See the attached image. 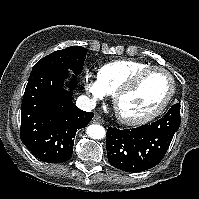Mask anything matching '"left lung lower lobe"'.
<instances>
[{
  "label": "left lung lower lobe",
  "instance_id": "1",
  "mask_svg": "<svg viewBox=\"0 0 199 199\" xmlns=\"http://www.w3.org/2000/svg\"><path fill=\"white\" fill-rule=\"evenodd\" d=\"M180 126V103L159 120L137 128L107 130V158L117 169L141 172L156 166L165 156Z\"/></svg>",
  "mask_w": 199,
  "mask_h": 199
}]
</instances>
